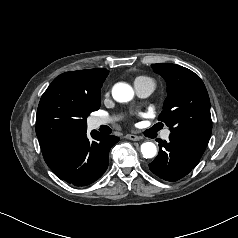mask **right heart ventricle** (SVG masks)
Listing matches in <instances>:
<instances>
[{
	"label": "right heart ventricle",
	"mask_w": 238,
	"mask_h": 238,
	"mask_svg": "<svg viewBox=\"0 0 238 238\" xmlns=\"http://www.w3.org/2000/svg\"><path fill=\"white\" fill-rule=\"evenodd\" d=\"M143 82H154L153 79L147 76H138L134 79V85L137 83H143Z\"/></svg>",
	"instance_id": "obj_1"
}]
</instances>
